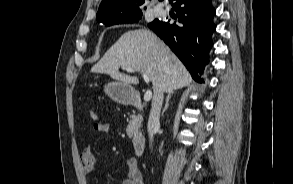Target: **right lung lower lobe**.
Wrapping results in <instances>:
<instances>
[{"label":"right lung lower lobe","mask_w":293,"mask_h":184,"mask_svg":"<svg viewBox=\"0 0 293 184\" xmlns=\"http://www.w3.org/2000/svg\"><path fill=\"white\" fill-rule=\"evenodd\" d=\"M178 22L155 20L148 26L173 50L197 82H204L202 71L209 63L213 45L215 9L211 0H169ZM198 73L200 75H198Z\"/></svg>","instance_id":"98d812e1"}]
</instances>
